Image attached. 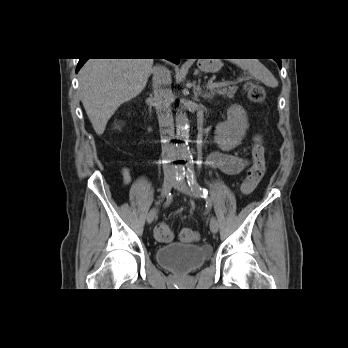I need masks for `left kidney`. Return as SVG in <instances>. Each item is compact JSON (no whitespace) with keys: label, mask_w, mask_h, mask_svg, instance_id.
<instances>
[{"label":"left kidney","mask_w":348,"mask_h":348,"mask_svg":"<svg viewBox=\"0 0 348 348\" xmlns=\"http://www.w3.org/2000/svg\"><path fill=\"white\" fill-rule=\"evenodd\" d=\"M247 128L245 110L239 105H232L227 110V120L217 124L214 140L222 151H230L241 144Z\"/></svg>","instance_id":"1"}]
</instances>
